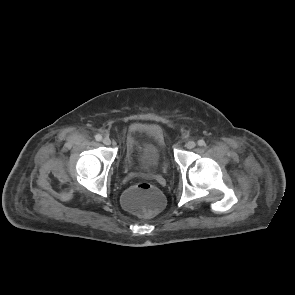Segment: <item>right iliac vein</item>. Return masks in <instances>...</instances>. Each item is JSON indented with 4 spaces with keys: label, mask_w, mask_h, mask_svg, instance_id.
Segmentation results:
<instances>
[{
    "label": "right iliac vein",
    "mask_w": 295,
    "mask_h": 295,
    "mask_svg": "<svg viewBox=\"0 0 295 295\" xmlns=\"http://www.w3.org/2000/svg\"><path fill=\"white\" fill-rule=\"evenodd\" d=\"M102 142L104 145H107V146H109L111 144V140L109 137L103 138Z\"/></svg>",
    "instance_id": "right-iliac-vein-1"
}]
</instances>
